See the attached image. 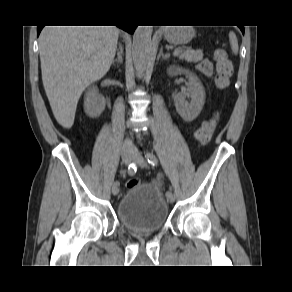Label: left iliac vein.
Segmentation results:
<instances>
[{"label":"left iliac vein","instance_id":"left-iliac-vein-1","mask_svg":"<svg viewBox=\"0 0 292 292\" xmlns=\"http://www.w3.org/2000/svg\"><path fill=\"white\" fill-rule=\"evenodd\" d=\"M134 161L137 165L141 166V167H145L146 166V161L143 158V156L140 153H135L134 155ZM167 200L169 203H173L175 201V196L173 193H170L167 196Z\"/></svg>","mask_w":292,"mask_h":292}]
</instances>
